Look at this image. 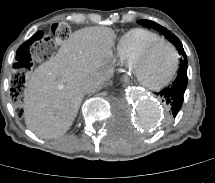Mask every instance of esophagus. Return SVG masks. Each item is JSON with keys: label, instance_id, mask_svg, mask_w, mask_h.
Instances as JSON below:
<instances>
[{"label": "esophagus", "instance_id": "34e87169", "mask_svg": "<svg viewBox=\"0 0 215 183\" xmlns=\"http://www.w3.org/2000/svg\"><path fill=\"white\" fill-rule=\"evenodd\" d=\"M123 80H124V82H126V83L129 82V78H124Z\"/></svg>", "mask_w": 215, "mask_h": 183}]
</instances>
